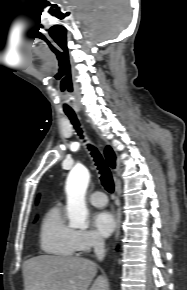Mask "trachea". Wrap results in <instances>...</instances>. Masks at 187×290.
Segmentation results:
<instances>
[{"label": "trachea", "instance_id": "trachea-1", "mask_svg": "<svg viewBox=\"0 0 187 290\" xmlns=\"http://www.w3.org/2000/svg\"><path fill=\"white\" fill-rule=\"evenodd\" d=\"M66 115L69 117L71 123L73 124L74 128L76 129L78 135L82 136V130L80 128L79 122L77 120V117L75 113H66ZM88 149L91 151V155L94 158L95 164L99 170V173L101 174L100 180L103 185V187L109 192H114V181L112 178V174L106 165L104 159L102 158L101 154L98 152V150L92 146L88 145Z\"/></svg>", "mask_w": 187, "mask_h": 290}]
</instances>
